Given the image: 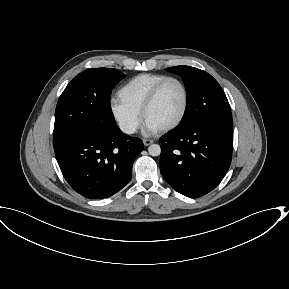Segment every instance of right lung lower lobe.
Wrapping results in <instances>:
<instances>
[{"instance_id":"1","label":"right lung lower lobe","mask_w":289,"mask_h":289,"mask_svg":"<svg viewBox=\"0 0 289 289\" xmlns=\"http://www.w3.org/2000/svg\"><path fill=\"white\" fill-rule=\"evenodd\" d=\"M142 150V140L124 134L117 125L86 130L54 147L66 181L91 199L110 197L128 184Z\"/></svg>"}]
</instances>
